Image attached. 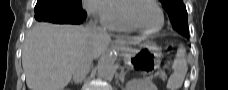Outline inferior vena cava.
<instances>
[{
  "mask_svg": "<svg viewBox=\"0 0 228 90\" xmlns=\"http://www.w3.org/2000/svg\"><path fill=\"white\" fill-rule=\"evenodd\" d=\"M86 28L88 32V37L90 39H94L96 37L106 34L105 30H103V28L98 26L92 20H90ZM92 60H93V57H92L91 49L87 48V50L83 53L81 59L76 64L73 72V81L76 84L81 83L83 79L87 76L90 70Z\"/></svg>",
  "mask_w": 228,
  "mask_h": 90,
  "instance_id": "602c4592",
  "label": "inferior vena cava"
}]
</instances>
